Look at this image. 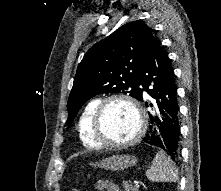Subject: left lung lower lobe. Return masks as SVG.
Segmentation results:
<instances>
[{"instance_id":"0a47b994","label":"left lung lower lobe","mask_w":221,"mask_h":191,"mask_svg":"<svg viewBox=\"0 0 221 191\" xmlns=\"http://www.w3.org/2000/svg\"><path fill=\"white\" fill-rule=\"evenodd\" d=\"M138 86L143 87H139L138 100H143L142 91H146L154 99L150 106L157 111L150 115V131L143 140L176 160L180 140L177 86L168 55L156 38L139 73Z\"/></svg>"}]
</instances>
